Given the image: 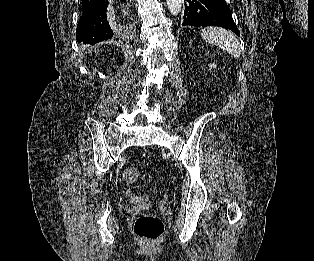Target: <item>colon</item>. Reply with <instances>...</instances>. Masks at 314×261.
<instances>
[{"label":"colon","mask_w":314,"mask_h":261,"mask_svg":"<svg viewBox=\"0 0 314 261\" xmlns=\"http://www.w3.org/2000/svg\"><path fill=\"white\" fill-rule=\"evenodd\" d=\"M141 178L140 172L136 167H128L123 173L126 183H134ZM134 233L143 241L153 243L158 241L165 230L162 220L153 214H142L134 223Z\"/></svg>","instance_id":"5ec220e1"}]
</instances>
